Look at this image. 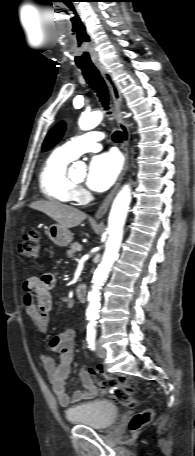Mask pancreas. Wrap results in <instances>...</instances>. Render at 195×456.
Segmentation results:
<instances>
[{"label": "pancreas", "mask_w": 195, "mask_h": 456, "mask_svg": "<svg viewBox=\"0 0 195 456\" xmlns=\"http://www.w3.org/2000/svg\"><path fill=\"white\" fill-rule=\"evenodd\" d=\"M80 244L78 242H74L70 245V249L67 251V255L69 258H72L74 256V254L76 253L77 251V247L79 246Z\"/></svg>", "instance_id": "pancreas-1"}]
</instances>
